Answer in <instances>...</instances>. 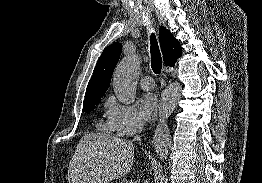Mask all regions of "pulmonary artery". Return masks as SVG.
<instances>
[{
	"label": "pulmonary artery",
	"instance_id": "1",
	"mask_svg": "<svg viewBox=\"0 0 262 183\" xmlns=\"http://www.w3.org/2000/svg\"><path fill=\"white\" fill-rule=\"evenodd\" d=\"M140 86L144 90H152L155 87L154 80L151 76H143L139 82Z\"/></svg>",
	"mask_w": 262,
	"mask_h": 183
}]
</instances>
